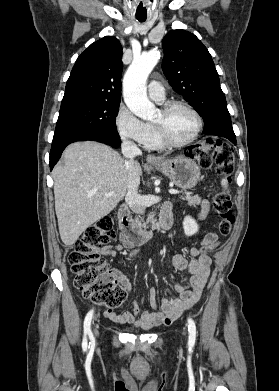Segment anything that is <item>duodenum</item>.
I'll return each instance as SVG.
<instances>
[{"mask_svg": "<svg viewBox=\"0 0 279 391\" xmlns=\"http://www.w3.org/2000/svg\"><path fill=\"white\" fill-rule=\"evenodd\" d=\"M117 219L123 241L129 247L150 241L157 232L169 230L174 223L171 205L163 207L158 222L153 228L143 229L135 225L126 205L119 208Z\"/></svg>", "mask_w": 279, "mask_h": 391, "instance_id": "obj_1", "label": "duodenum"}]
</instances>
